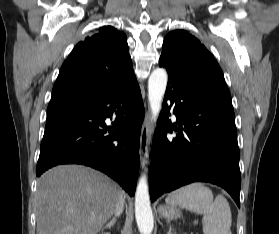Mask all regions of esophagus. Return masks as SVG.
<instances>
[{
    "label": "esophagus",
    "instance_id": "34e87169",
    "mask_svg": "<svg viewBox=\"0 0 279 234\" xmlns=\"http://www.w3.org/2000/svg\"><path fill=\"white\" fill-rule=\"evenodd\" d=\"M151 140V124L149 114L147 113L141 128L140 135V161L143 169H147L149 160V146Z\"/></svg>",
    "mask_w": 279,
    "mask_h": 234
}]
</instances>
